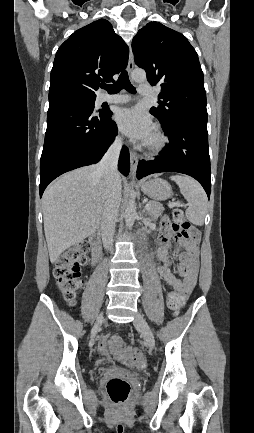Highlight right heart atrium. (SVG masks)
<instances>
[{
	"instance_id": "d8ad5b80",
	"label": "right heart atrium",
	"mask_w": 254,
	"mask_h": 433,
	"mask_svg": "<svg viewBox=\"0 0 254 433\" xmlns=\"http://www.w3.org/2000/svg\"><path fill=\"white\" fill-rule=\"evenodd\" d=\"M116 139H117V140H121V137H120V136H117Z\"/></svg>"
}]
</instances>
